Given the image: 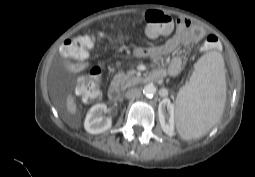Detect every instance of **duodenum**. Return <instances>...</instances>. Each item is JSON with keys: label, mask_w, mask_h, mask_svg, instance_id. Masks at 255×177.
<instances>
[{"label": "duodenum", "mask_w": 255, "mask_h": 177, "mask_svg": "<svg viewBox=\"0 0 255 177\" xmlns=\"http://www.w3.org/2000/svg\"><path fill=\"white\" fill-rule=\"evenodd\" d=\"M162 77L163 76L161 73L155 71V72L149 73L147 76H145L143 81L146 83H153V82H157ZM108 96L111 101L117 102L120 98V93H119L118 88L116 86H111L108 90Z\"/></svg>", "instance_id": "duodenum-1"}]
</instances>
